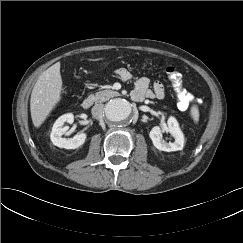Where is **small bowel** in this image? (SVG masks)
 <instances>
[{
	"mask_svg": "<svg viewBox=\"0 0 243 243\" xmlns=\"http://www.w3.org/2000/svg\"><path fill=\"white\" fill-rule=\"evenodd\" d=\"M115 74L124 81H130L132 74L125 68H119L115 71ZM165 97V88L162 83L155 81L150 87V80L146 77H142L137 80L135 89L132 92V99L135 101H141L143 99H162Z\"/></svg>",
	"mask_w": 243,
	"mask_h": 243,
	"instance_id": "c3829d8e",
	"label": "small bowel"
}]
</instances>
